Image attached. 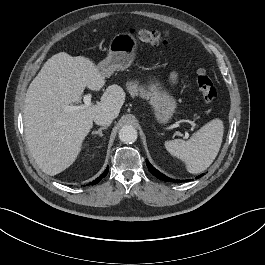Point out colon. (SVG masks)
<instances>
[{
	"mask_svg": "<svg viewBox=\"0 0 265 265\" xmlns=\"http://www.w3.org/2000/svg\"><path fill=\"white\" fill-rule=\"evenodd\" d=\"M130 32L139 41L153 45L165 43L168 37L167 33L153 29H131ZM196 82L198 90L201 93L203 100L208 104L215 102L218 98L219 92L216 86L214 85L210 77L209 71L206 67H198L196 73Z\"/></svg>",
	"mask_w": 265,
	"mask_h": 265,
	"instance_id": "colon-1",
	"label": "colon"
}]
</instances>
